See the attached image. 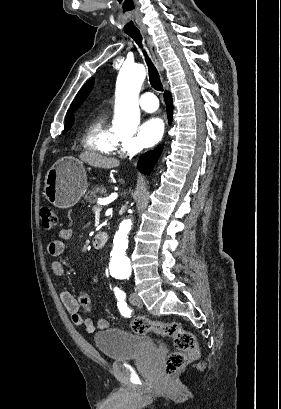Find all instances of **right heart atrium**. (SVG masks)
I'll list each match as a JSON object with an SVG mask.
<instances>
[{"label": "right heart atrium", "mask_w": 281, "mask_h": 409, "mask_svg": "<svg viewBox=\"0 0 281 409\" xmlns=\"http://www.w3.org/2000/svg\"><path fill=\"white\" fill-rule=\"evenodd\" d=\"M128 116H129L130 123L132 122L134 118H139V114L138 115H128ZM123 143L131 151H137L140 149V145L136 141L135 138H123Z\"/></svg>", "instance_id": "obj_1"}]
</instances>
